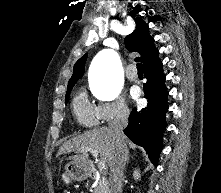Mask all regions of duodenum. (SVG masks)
I'll list each match as a JSON object with an SVG mask.
<instances>
[{
    "mask_svg": "<svg viewBox=\"0 0 221 193\" xmlns=\"http://www.w3.org/2000/svg\"><path fill=\"white\" fill-rule=\"evenodd\" d=\"M87 175L89 177H92V178L101 177L103 179L104 185L107 184V181H106L105 177H103L100 174L99 170L93 164H90V165L87 166Z\"/></svg>",
    "mask_w": 221,
    "mask_h": 193,
    "instance_id": "obj_1",
    "label": "duodenum"
}]
</instances>
